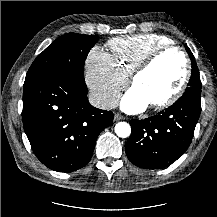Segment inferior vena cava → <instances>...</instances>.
Masks as SVG:
<instances>
[{
	"instance_id": "602c4592",
	"label": "inferior vena cava",
	"mask_w": 217,
	"mask_h": 217,
	"mask_svg": "<svg viewBox=\"0 0 217 217\" xmlns=\"http://www.w3.org/2000/svg\"><path fill=\"white\" fill-rule=\"evenodd\" d=\"M88 99L92 106L99 109L110 110L118 105V97L111 93L90 92Z\"/></svg>"
}]
</instances>
